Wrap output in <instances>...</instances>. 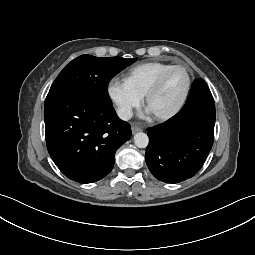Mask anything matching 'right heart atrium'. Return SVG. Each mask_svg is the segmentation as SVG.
I'll list each match as a JSON object with an SVG mask.
<instances>
[{"instance_id":"d8ad5b80","label":"right heart atrium","mask_w":255,"mask_h":255,"mask_svg":"<svg viewBox=\"0 0 255 255\" xmlns=\"http://www.w3.org/2000/svg\"><path fill=\"white\" fill-rule=\"evenodd\" d=\"M107 92L116 107L118 116L123 120L129 119L133 110L142 103L143 97L126 80L113 78L108 84Z\"/></svg>"}]
</instances>
